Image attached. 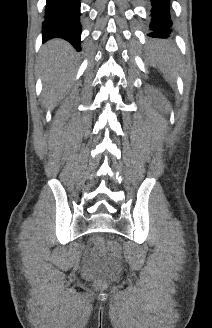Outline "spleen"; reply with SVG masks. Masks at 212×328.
Masks as SVG:
<instances>
[{"label":"spleen","instance_id":"spleen-1","mask_svg":"<svg viewBox=\"0 0 212 328\" xmlns=\"http://www.w3.org/2000/svg\"><path fill=\"white\" fill-rule=\"evenodd\" d=\"M151 57L153 64L165 70L170 76L174 74L176 56L172 46L162 42L156 44L154 50L151 51Z\"/></svg>","mask_w":212,"mask_h":328}]
</instances>
